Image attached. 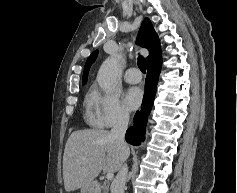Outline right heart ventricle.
<instances>
[{"instance_id":"1","label":"right heart ventricle","mask_w":237,"mask_h":193,"mask_svg":"<svg viewBox=\"0 0 237 193\" xmlns=\"http://www.w3.org/2000/svg\"><path fill=\"white\" fill-rule=\"evenodd\" d=\"M88 102H89V97H88V99H87V104H88ZM88 118H89V115H88Z\"/></svg>"}]
</instances>
